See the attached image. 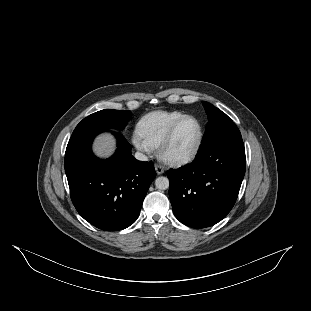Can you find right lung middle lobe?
<instances>
[{
	"instance_id": "right-lung-middle-lobe-1",
	"label": "right lung middle lobe",
	"mask_w": 311,
	"mask_h": 311,
	"mask_svg": "<svg viewBox=\"0 0 311 311\" xmlns=\"http://www.w3.org/2000/svg\"><path fill=\"white\" fill-rule=\"evenodd\" d=\"M131 118L130 111L105 109L84 118L73 133L87 129H123Z\"/></svg>"
}]
</instances>
